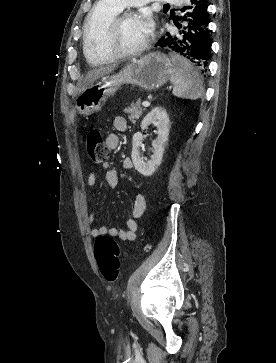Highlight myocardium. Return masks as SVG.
I'll list each match as a JSON object with an SVG mask.
<instances>
[{
    "instance_id": "obj_1",
    "label": "myocardium",
    "mask_w": 276,
    "mask_h": 363,
    "mask_svg": "<svg viewBox=\"0 0 276 363\" xmlns=\"http://www.w3.org/2000/svg\"><path fill=\"white\" fill-rule=\"evenodd\" d=\"M134 16V12L125 11L118 13L107 26L104 36V46L106 51L111 54L115 59H121L126 57H133L142 54L150 45L151 36L140 44L138 47L130 50L121 49L116 45V38L119 33L122 22L128 18Z\"/></svg>"
}]
</instances>
